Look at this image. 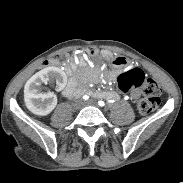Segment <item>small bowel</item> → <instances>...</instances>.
Returning a JSON list of instances; mask_svg holds the SVG:
<instances>
[{
  "label": "small bowel",
  "mask_w": 183,
  "mask_h": 183,
  "mask_svg": "<svg viewBox=\"0 0 183 183\" xmlns=\"http://www.w3.org/2000/svg\"><path fill=\"white\" fill-rule=\"evenodd\" d=\"M81 64H84V62H81ZM95 97H100V98H113L115 96L114 92H105V91H100V92H96L94 93Z\"/></svg>",
  "instance_id": "small-bowel-1"
}]
</instances>
